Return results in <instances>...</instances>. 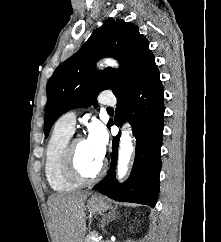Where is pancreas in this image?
Wrapping results in <instances>:
<instances>
[{"label": "pancreas", "mask_w": 221, "mask_h": 242, "mask_svg": "<svg viewBox=\"0 0 221 242\" xmlns=\"http://www.w3.org/2000/svg\"><path fill=\"white\" fill-rule=\"evenodd\" d=\"M98 234L96 232L91 233L89 236H87L84 240V242H95L92 237H97ZM104 242V241H101Z\"/></svg>", "instance_id": "obj_1"}]
</instances>
